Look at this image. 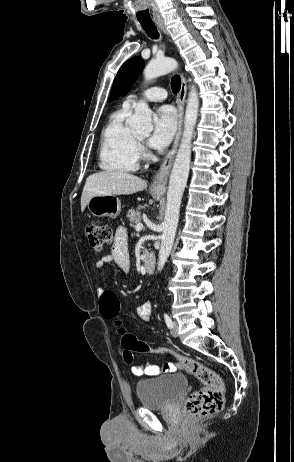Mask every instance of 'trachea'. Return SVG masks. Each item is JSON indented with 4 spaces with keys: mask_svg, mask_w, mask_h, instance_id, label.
Segmentation results:
<instances>
[{
    "mask_svg": "<svg viewBox=\"0 0 294 462\" xmlns=\"http://www.w3.org/2000/svg\"><path fill=\"white\" fill-rule=\"evenodd\" d=\"M143 29L145 30L146 34L152 38L157 39L159 38V33L157 28L153 22H141ZM181 87V79L179 75H174L171 80V88L173 93H177Z\"/></svg>",
    "mask_w": 294,
    "mask_h": 462,
    "instance_id": "trachea-1",
    "label": "trachea"
}]
</instances>
